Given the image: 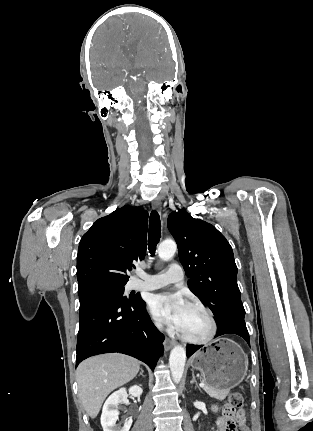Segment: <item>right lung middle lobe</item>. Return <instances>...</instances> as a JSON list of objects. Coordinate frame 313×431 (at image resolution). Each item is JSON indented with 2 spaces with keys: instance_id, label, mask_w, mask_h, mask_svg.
I'll return each mask as SVG.
<instances>
[{
  "instance_id": "obj_1",
  "label": "right lung middle lobe",
  "mask_w": 313,
  "mask_h": 431,
  "mask_svg": "<svg viewBox=\"0 0 313 431\" xmlns=\"http://www.w3.org/2000/svg\"><path fill=\"white\" fill-rule=\"evenodd\" d=\"M124 285L125 284H121V285H113V286H107V287H103L100 290H105V291H110V292H115L120 294L121 296H123L124 293ZM125 299L130 300L135 298L134 296L129 295V297H125L123 296Z\"/></svg>"
}]
</instances>
